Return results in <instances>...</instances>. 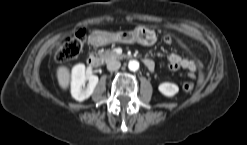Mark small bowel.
<instances>
[{
    "mask_svg": "<svg viewBox=\"0 0 247 145\" xmlns=\"http://www.w3.org/2000/svg\"><path fill=\"white\" fill-rule=\"evenodd\" d=\"M180 44L189 49L188 46L180 41ZM203 67V62L199 58H185L179 54L173 53L169 56V68L173 71L184 69L189 72L190 77H194L196 72H199Z\"/></svg>",
    "mask_w": 247,
    "mask_h": 145,
    "instance_id": "obj_1",
    "label": "small bowel"
}]
</instances>
